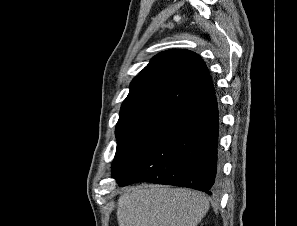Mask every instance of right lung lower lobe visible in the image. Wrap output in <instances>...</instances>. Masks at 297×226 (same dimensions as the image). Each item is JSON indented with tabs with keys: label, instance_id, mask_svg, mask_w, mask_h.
Wrapping results in <instances>:
<instances>
[{
	"label": "right lung lower lobe",
	"instance_id": "1",
	"mask_svg": "<svg viewBox=\"0 0 297 226\" xmlns=\"http://www.w3.org/2000/svg\"><path fill=\"white\" fill-rule=\"evenodd\" d=\"M219 114L215 95L170 117L119 186L151 182L215 193Z\"/></svg>",
	"mask_w": 297,
	"mask_h": 226
}]
</instances>
